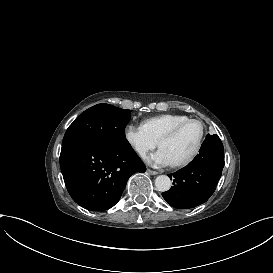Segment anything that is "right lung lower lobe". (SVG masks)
Returning a JSON list of instances; mask_svg holds the SVG:
<instances>
[{
  "label": "right lung lower lobe",
  "instance_id": "right-lung-lower-lobe-1",
  "mask_svg": "<svg viewBox=\"0 0 273 273\" xmlns=\"http://www.w3.org/2000/svg\"><path fill=\"white\" fill-rule=\"evenodd\" d=\"M60 167L72 199L92 211H105L114 206L129 177L146 171L132 148L85 141L62 146Z\"/></svg>",
  "mask_w": 273,
  "mask_h": 273
}]
</instances>
